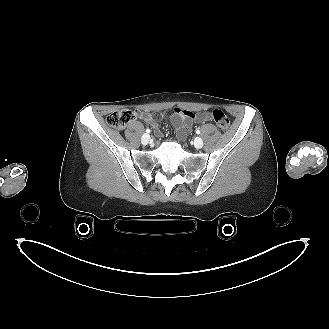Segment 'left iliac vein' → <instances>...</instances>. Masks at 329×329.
Returning a JSON list of instances; mask_svg holds the SVG:
<instances>
[{
	"instance_id": "left-iliac-vein-1",
	"label": "left iliac vein",
	"mask_w": 329,
	"mask_h": 329,
	"mask_svg": "<svg viewBox=\"0 0 329 329\" xmlns=\"http://www.w3.org/2000/svg\"><path fill=\"white\" fill-rule=\"evenodd\" d=\"M194 146L197 149L202 148L203 147V140L200 137L195 138V140H194Z\"/></svg>"
}]
</instances>
